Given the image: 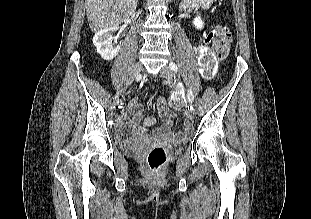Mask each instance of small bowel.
<instances>
[{
    "instance_id": "small-bowel-1",
    "label": "small bowel",
    "mask_w": 311,
    "mask_h": 219,
    "mask_svg": "<svg viewBox=\"0 0 311 219\" xmlns=\"http://www.w3.org/2000/svg\"><path fill=\"white\" fill-rule=\"evenodd\" d=\"M157 108L160 115L166 119V123L156 129V135L160 137H174L177 140H182L187 134L191 133V127L189 122L186 120L184 123V129L175 135L171 134V128L173 126V120L175 115L170 112L165 105L164 100L159 99L157 101ZM127 113L132 114L133 120L131 122L127 121L126 115H121L118 121V132L121 137H126L132 134L140 138H145L148 135L149 129L157 124L156 117H146L143 118V108L136 97L132 98L128 107ZM130 128H129V126ZM124 126H127L125 132Z\"/></svg>"
}]
</instances>
